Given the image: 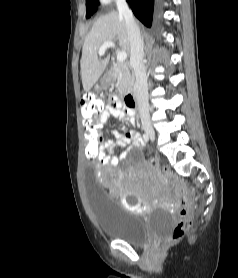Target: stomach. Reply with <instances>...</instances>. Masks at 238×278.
Here are the masks:
<instances>
[{
	"label": "stomach",
	"mask_w": 238,
	"mask_h": 278,
	"mask_svg": "<svg viewBox=\"0 0 238 278\" xmlns=\"http://www.w3.org/2000/svg\"><path fill=\"white\" fill-rule=\"evenodd\" d=\"M115 82V76L112 72L108 71L106 72L103 77L101 78L100 86L103 89H106L113 85Z\"/></svg>",
	"instance_id": "obj_1"
}]
</instances>
